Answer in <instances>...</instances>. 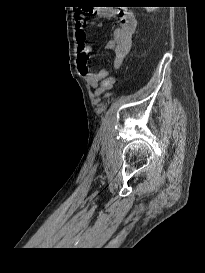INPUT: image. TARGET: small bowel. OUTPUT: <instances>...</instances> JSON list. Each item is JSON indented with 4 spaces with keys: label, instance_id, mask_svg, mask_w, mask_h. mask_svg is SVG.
Masks as SVG:
<instances>
[{
    "label": "small bowel",
    "instance_id": "obj_1",
    "mask_svg": "<svg viewBox=\"0 0 205 273\" xmlns=\"http://www.w3.org/2000/svg\"><path fill=\"white\" fill-rule=\"evenodd\" d=\"M117 13L119 17V26L114 30L113 39L107 43V49L113 53V64L116 68L120 67L126 56L129 54L134 33L137 29V20L134 14L128 10H113L103 8L96 14L97 17L109 19ZM76 41L78 43L77 66L80 73L84 76L87 83L96 88L98 84L109 77L106 69L99 72L91 71L89 67V57L93 51L92 45L87 42V33L85 31L86 15L79 12L75 14Z\"/></svg>",
    "mask_w": 205,
    "mask_h": 273
}]
</instances>
